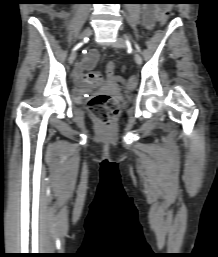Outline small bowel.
<instances>
[{"label":"small bowel","instance_id":"1","mask_svg":"<svg viewBox=\"0 0 218 257\" xmlns=\"http://www.w3.org/2000/svg\"><path fill=\"white\" fill-rule=\"evenodd\" d=\"M157 11H160V10L152 6H146L143 8V11H142L143 21L145 26L148 29H151L154 26L155 22L159 21L160 19V16H157ZM97 59H98V53L94 49L90 50L85 55L80 67L77 70V73H75V78H78L77 84H84L83 80L86 78H85V75L83 74V71L91 70L94 67Z\"/></svg>","mask_w":218,"mask_h":257}]
</instances>
